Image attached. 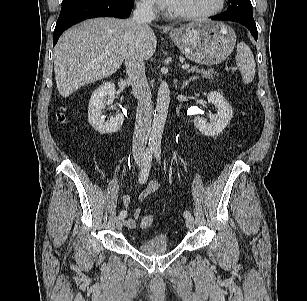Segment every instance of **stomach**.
<instances>
[{
    "instance_id": "0dacf381",
    "label": "stomach",
    "mask_w": 307,
    "mask_h": 301,
    "mask_svg": "<svg viewBox=\"0 0 307 301\" xmlns=\"http://www.w3.org/2000/svg\"><path fill=\"white\" fill-rule=\"evenodd\" d=\"M170 37L186 58L204 65L227 59L236 43L233 29L222 22L189 23L172 30Z\"/></svg>"
}]
</instances>
